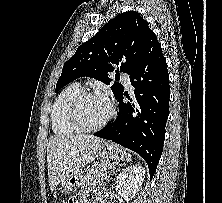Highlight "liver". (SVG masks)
Here are the masks:
<instances>
[{
	"mask_svg": "<svg viewBox=\"0 0 222 203\" xmlns=\"http://www.w3.org/2000/svg\"><path fill=\"white\" fill-rule=\"evenodd\" d=\"M102 143L103 139L91 135H58L50 138L47 143L50 190L53 191L72 172L92 162Z\"/></svg>",
	"mask_w": 222,
	"mask_h": 203,
	"instance_id": "liver-1",
	"label": "liver"
}]
</instances>
